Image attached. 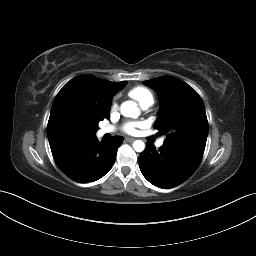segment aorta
<instances>
[{
	"label": "aorta",
	"instance_id": "aorta-1",
	"mask_svg": "<svg viewBox=\"0 0 256 256\" xmlns=\"http://www.w3.org/2000/svg\"><path fill=\"white\" fill-rule=\"evenodd\" d=\"M120 112L125 117L137 118L140 115V109L136 102L128 100L121 104ZM133 149L136 152H142L145 149V143L142 140L133 142Z\"/></svg>",
	"mask_w": 256,
	"mask_h": 256
}]
</instances>
